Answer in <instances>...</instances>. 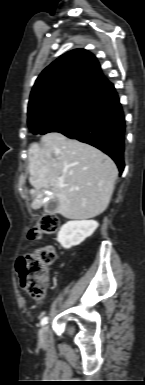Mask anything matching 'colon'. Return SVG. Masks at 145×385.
Here are the masks:
<instances>
[{"instance_id":"colon-1","label":"colon","mask_w":145,"mask_h":385,"mask_svg":"<svg viewBox=\"0 0 145 385\" xmlns=\"http://www.w3.org/2000/svg\"><path fill=\"white\" fill-rule=\"evenodd\" d=\"M60 219L54 214H43L34 222L29 231L31 240L55 233ZM56 251L52 246H43L22 256L17 263V273L22 289L36 301L46 293L49 282V267L55 261Z\"/></svg>"}]
</instances>
